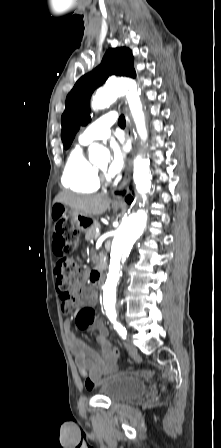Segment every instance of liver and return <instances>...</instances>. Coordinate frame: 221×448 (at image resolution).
<instances>
[{
    "label": "liver",
    "mask_w": 221,
    "mask_h": 448,
    "mask_svg": "<svg viewBox=\"0 0 221 448\" xmlns=\"http://www.w3.org/2000/svg\"><path fill=\"white\" fill-rule=\"evenodd\" d=\"M54 203H61L84 215H102L109 208L111 199L107 195L98 194L92 196H77L71 193H59Z\"/></svg>",
    "instance_id": "6515ba94"
}]
</instances>
